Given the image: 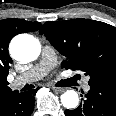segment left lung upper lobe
Segmentation results:
<instances>
[{
	"mask_svg": "<svg viewBox=\"0 0 116 116\" xmlns=\"http://www.w3.org/2000/svg\"><path fill=\"white\" fill-rule=\"evenodd\" d=\"M65 60L66 69L82 70L89 85L116 86V28L100 21L46 22L40 29Z\"/></svg>",
	"mask_w": 116,
	"mask_h": 116,
	"instance_id": "1",
	"label": "left lung upper lobe"
}]
</instances>
